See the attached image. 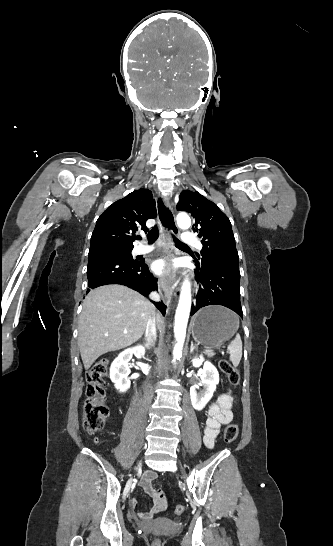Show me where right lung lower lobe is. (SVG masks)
<instances>
[{"instance_id":"1","label":"right lung lower lobe","mask_w":333,"mask_h":546,"mask_svg":"<svg viewBox=\"0 0 333 546\" xmlns=\"http://www.w3.org/2000/svg\"><path fill=\"white\" fill-rule=\"evenodd\" d=\"M87 277L90 289L108 284H121L146 297L151 291L157 290V279L149 272L144 260L128 259L103 249L89 251ZM152 302L164 315L165 305L162 302Z\"/></svg>"}]
</instances>
